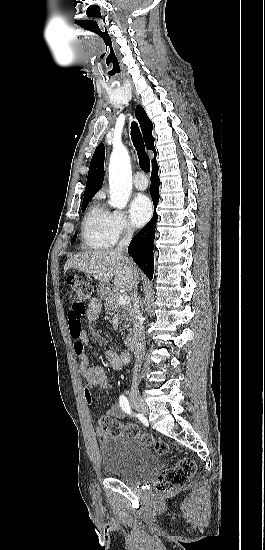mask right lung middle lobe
Returning a JSON list of instances; mask_svg holds the SVG:
<instances>
[{"label":"right lung middle lobe","instance_id":"1","mask_svg":"<svg viewBox=\"0 0 265 550\" xmlns=\"http://www.w3.org/2000/svg\"><path fill=\"white\" fill-rule=\"evenodd\" d=\"M91 199H92V198H88V199H83V203H82V211H84V210H85V208L87 207V205H88V203H89V201H90ZM74 239H75V236H74V237L72 238V241H71V242H73V241H74Z\"/></svg>","mask_w":265,"mask_h":550}]
</instances>
